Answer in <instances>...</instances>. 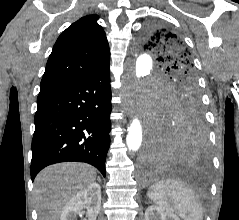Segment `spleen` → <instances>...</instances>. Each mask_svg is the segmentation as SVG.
I'll list each match as a JSON object with an SVG mask.
<instances>
[{"instance_id":"obj_1","label":"spleen","mask_w":239,"mask_h":220,"mask_svg":"<svg viewBox=\"0 0 239 220\" xmlns=\"http://www.w3.org/2000/svg\"><path fill=\"white\" fill-rule=\"evenodd\" d=\"M148 197L160 208L175 212L183 220H203V207L192 189L174 179L161 180L151 185Z\"/></svg>"}]
</instances>
